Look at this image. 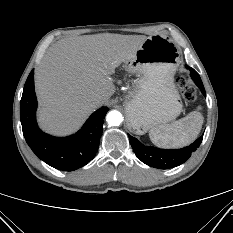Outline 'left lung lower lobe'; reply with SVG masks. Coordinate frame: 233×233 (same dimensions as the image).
<instances>
[{"label":"left lung lower lobe","instance_id":"left-lung-lower-lobe-1","mask_svg":"<svg viewBox=\"0 0 233 233\" xmlns=\"http://www.w3.org/2000/svg\"><path fill=\"white\" fill-rule=\"evenodd\" d=\"M190 70V75L195 84L200 88L202 94L206 97L203 83L199 74L193 69L186 66ZM132 148L136 156L145 164L159 169H170L183 164L189 159L191 154L196 151L202 142V136L199 137L190 146L177 150H163L154 147H147L141 144L136 138L129 135Z\"/></svg>","mask_w":233,"mask_h":233}]
</instances>
